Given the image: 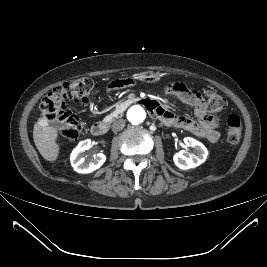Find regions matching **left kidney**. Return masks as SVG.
Masks as SVG:
<instances>
[{
    "label": "left kidney",
    "instance_id": "5707ae66",
    "mask_svg": "<svg viewBox=\"0 0 267 267\" xmlns=\"http://www.w3.org/2000/svg\"><path fill=\"white\" fill-rule=\"evenodd\" d=\"M184 142L186 146L194 148V153H188L184 150L176 153L173 156V161L178 168L187 170L205 162L208 156V150L201 142L191 137H186Z\"/></svg>",
    "mask_w": 267,
    "mask_h": 267
}]
</instances>
